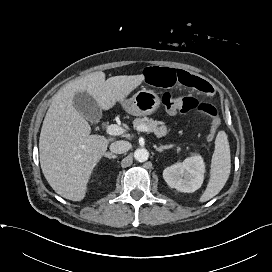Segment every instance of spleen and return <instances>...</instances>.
I'll return each mask as SVG.
<instances>
[{
  "label": "spleen",
  "instance_id": "3e777b00",
  "mask_svg": "<svg viewBox=\"0 0 272 272\" xmlns=\"http://www.w3.org/2000/svg\"><path fill=\"white\" fill-rule=\"evenodd\" d=\"M230 169L231 157L228 137L224 131H219L215 139L209 183L199 199L200 202L210 200L222 190L229 178Z\"/></svg>",
  "mask_w": 272,
  "mask_h": 272
}]
</instances>
